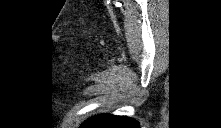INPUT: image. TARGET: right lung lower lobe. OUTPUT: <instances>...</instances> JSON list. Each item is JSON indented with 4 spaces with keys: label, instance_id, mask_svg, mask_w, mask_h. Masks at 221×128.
<instances>
[{
    "label": "right lung lower lobe",
    "instance_id": "1",
    "mask_svg": "<svg viewBox=\"0 0 221 128\" xmlns=\"http://www.w3.org/2000/svg\"><path fill=\"white\" fill-rule=\"evenodd\" d=\"M137 121L125 116L100 115L84 122L80 128H138Z\"/></svg>",
    "mask_w": 221,
    "mask_h": 128
}]
</instances>
